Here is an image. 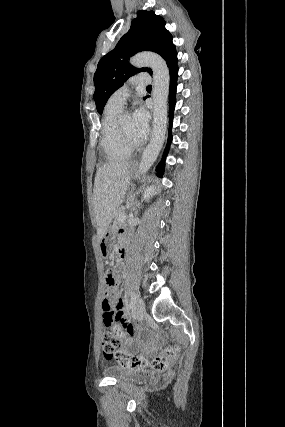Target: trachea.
Segmentation results:
<instances>
[{
    "label": "trachea",
    "mask_w": 285,
    "mask_h": 427,
    "mask_svg": "<svg viewBox=\"0 0 285 427\" xmlns=\"http://www.w3.org/2000/svg\"><path fill=\"white\" fill-rule=\"evenodd\" d=\"M147 88H148V89H151V88H152V86H151V85H148V86H147Z\"/></svg>",
    "instance_id": "3493384b"
}]
</instances>
